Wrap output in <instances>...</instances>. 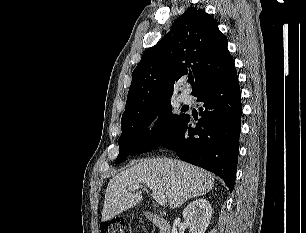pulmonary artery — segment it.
<instances>
[{"label": "pulmonary artery", "mask_w": 306, "mask_h": 233, "mask_svg": "<svg viewBox=\"0 0 306 233\" xmlns=\"http://www.w3.org/2000/svg\"><path fill=\"white\" fill-rule=\"evenodd\" d=\"M180 101H181L183 104H191V103H192V96L190 95L189 92L183 91V92L180 94Z\"/></svg>", "instance_id": "1"}]
</instances>
